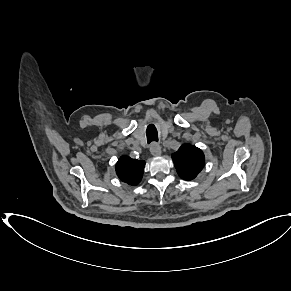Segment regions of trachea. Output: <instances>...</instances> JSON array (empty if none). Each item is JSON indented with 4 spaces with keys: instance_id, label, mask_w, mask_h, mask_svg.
<instances>
[{
    "instance_id": "1",
    "label": "trachea",
    "mask_w": 291,
    "mask_h": 291,
    "mask_svg": "<svg viewBox=\"0 0 291 291\" xmlns=\"http://www.w3.org/2000/svg\"><path fill=\"white\" fill-rule=\"evenodd\" d=\"M147 142L151 143L153 141H158V133L153 125L148 126L147 130Z\"/></svg>"
}]
</instances>
